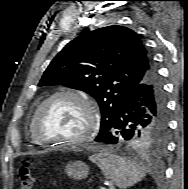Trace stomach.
I'll use <instances>...</instances> for the list:
<instances>
[{
	"mask_svg": "<svg viewBox=\"0 0 188 189\" xmlns=\"http://www.w3.org/2000/svg\"><path fill=\"white\" fill-rule=\"evenodd\" d=\"M68 176L75 179L85 178L89 173L88 166L82 161L70 162L65 167Z\"/></svg>",
	"mask_w": 188,
	"mask_h": 189,
	"instance_id": "stomach-1",
	"label": "stomach"
}]
</instances>
